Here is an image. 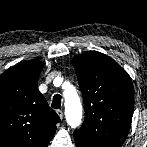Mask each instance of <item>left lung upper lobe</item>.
Returning <instances> with one entry per match:
<instances>
[{
  "instance_id": "left-lung-upper-lobe-1",
  "label": "left lung upper lobe",
  "mask_w": 147,
  "mask_h": 147,
  "mask_svg": "<svg viewBox=\"0 0 147 147\" xmlns=\"http://www.w3.org/2000/svg\"><path fill=\"white\" fill-rule=\"evenodd\" d=\"M85 119L74 131L77 147H121L129 132L134 89L128 73L110 57L88 51L72 59Z\"/></svg>"
}]
</instances>
